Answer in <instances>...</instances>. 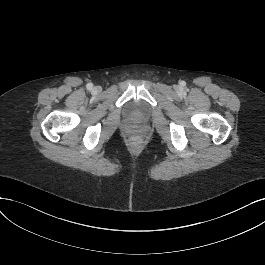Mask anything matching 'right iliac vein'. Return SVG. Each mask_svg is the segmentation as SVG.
<instances>
[{"label":"right iliac vein","instance_id":"right-iliac-vein-1","mask_svg":"<svg viewBox=\"0 0 265 265\" xmlns=\"http://www.w3.org/2000/svg\"><path fill=\"white\" fill-rule=\"evenodd\" d=\"M99 91V89H98V87H95L94 89H93V92H98Z\"/></svg>","mask_w":265,"mask_h":265}]
</instances>
